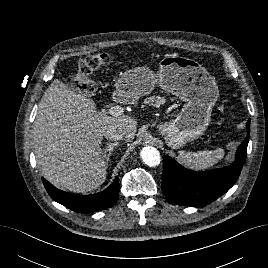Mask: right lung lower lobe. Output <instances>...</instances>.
<instances>
[{"instance_id": "right-lung-lower-lobe-1", "label": "right lung lower lobe", "mask_w": 268, "mask_h": 268, "mask_svg": "<svg viewBox=\"0 0 268 268\" xmlns=\"http://www.w3.org/2000/svg\"><path fill=\"white\" fill-rule=\"evenodd\" d=\"M43 184L53 200L79 213H92L111 207L119 196V179L104 191L92 195H75L55 188L50 182L42 178Z\"/></svg>"}]
</instances>
